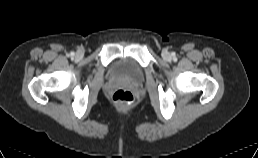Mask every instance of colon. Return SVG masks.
<instances>
[{
  "label": "colon",
  "instance_id": "obj_1",
  "mask_svg": "<svg viewBox=\"0 0 258 158\" xmlns=\"http://www.w3.org/2000/svg\"><path fill=\"white\" fill-rule=\"evenodd\" d=\"M112 99L115 102L121 103V104H126V105H130L133 103L134 101V96L133 94L128 91V90H124V89H120L117 90L113 96Z\"/></svg>",
  "mask_w": 258,
  "mask_h": 158
}]
</instances>
